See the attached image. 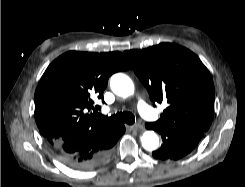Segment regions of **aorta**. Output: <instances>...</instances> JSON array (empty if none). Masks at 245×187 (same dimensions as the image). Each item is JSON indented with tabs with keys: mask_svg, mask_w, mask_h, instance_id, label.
Instances as JSON below:
<instances>
[{
	"mask_svg": "<svg viewBox=\"0 0 245 187\" xmlns=\"http://www.w3.org/2000/svg\"><path fill=\"white\" fill-rule=\"evenodd\" d=\"M112 91L121 97L127 98L134 93L132 80L123 73L114 74L110 79ZM141 143L145 150L153 151L159 145V138L153 131H146L141 137Z\"/></svg>",
	"mask_w": 245,
	"mask_h": 187,
	"instance_id": "obj_1",
	"label": "aorta"
}]
</instances>
